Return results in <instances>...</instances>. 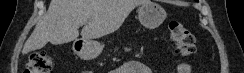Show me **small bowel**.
<instances>
[{
  "mask_svg": "<svg viewBox=\"0 0 244 73\" xmlns=\"http://www.w3.org/2000/svg\"><path fill=\"white\" fill-rule=\"evenodd\" d=\"M112 73H152V70L140 61H127ZM176 73H191V67L188 63H180L176 67Z\"/></svg>",
  "mask_w": 244,
  "mask_h": 73,
  "instance_id": "c3829d8e",
  "label": "small bowel"
}]
</instances>
